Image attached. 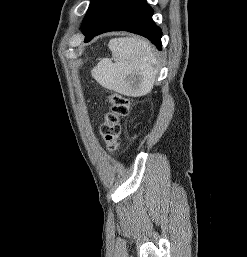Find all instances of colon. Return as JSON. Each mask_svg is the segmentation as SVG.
<instances>
[{
    "label": "colon",
    "instance_id": "colon-1",
    "mask_svg": "<svg viewBox=\"0 0 247 257\" xmlns=\"http://www.w3.org/2000/svg\"><path fill=\"white\" fill-rule=\"evenodd\" d=\"M110 110L101 124L100 132L110 153L119 149V137L121 133V120L129 113V99L119 93H113L108 97Z\"/></svg>",
    "mask_w": 247,
    "mask_h": 257
}]
</instances>
